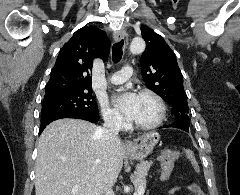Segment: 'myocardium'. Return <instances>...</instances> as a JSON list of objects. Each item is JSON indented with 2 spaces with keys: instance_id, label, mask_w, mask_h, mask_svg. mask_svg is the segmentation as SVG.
<instances>
[{
  "instance_id": "1",
  "label": "myocardium",
  "mask_w": 240,
  "mask_h": 195,
  "mask_svg": "<svg viewBox=\"0 0 240 195\" xmlns=\"http://www.w3.org/2000/svg\"><path fill=\"white\" fill-rule=\"evenodd\" d=\"M139 96H149L152 99H154V101L157 104V108H158L157 116L155 117V119L153 121H151L150 123H147V124H137V123H131V122L127 121V125H130L133 130L143 131V132L151 131V130L159 127L161 125V123L163 122V120L165 118V114H166L165 103L159 94H157L156 92H154L150 89L141 90L139 92Z\"/></svg>"
}]
</instances>
